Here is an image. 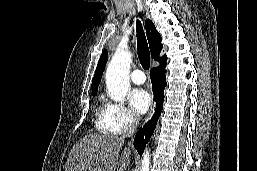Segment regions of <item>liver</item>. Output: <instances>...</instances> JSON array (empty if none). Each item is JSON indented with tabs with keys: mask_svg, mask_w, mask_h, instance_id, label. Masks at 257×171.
<instances>
[{
	"mask_svg": "<svg viewBox=\"0 0 257 171\" xmlns=\"http://www.w3.org/2000/svg\"><path fill=\"white\" fill-rule=\"evenodd\" d=\"M124 138L114 135L89 134L71 149L65 171H125L130 164L131 150Z\"/></svg>",
	"mask_w": 257,
	"mask_h": 171,
	"instance_id": "liver-1",
	"label": "liver"
}]
</instances>
